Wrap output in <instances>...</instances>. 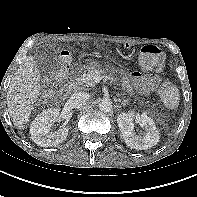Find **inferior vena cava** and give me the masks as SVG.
I'll return each mask as SVG.
<instances>
[{"instance_id": "1", "label": "inferior vena cava", "mask_w": 197, "mask_h": 197, "mask_svg": "<svg viewBox=\"0 0 197 197\" xmlns=\"http://www.w3.org/2000/svg\"><path fill=\"white\" fill-rule=\"evenodd\" d=\"M89 99V94L86 92H75L71 95L68 103L72 108H80L84 106Z\"/></svg>"}]
</instances>
